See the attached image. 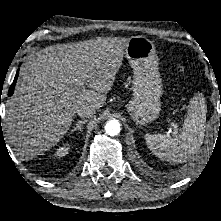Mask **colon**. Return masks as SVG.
<instances>
[{
  "label": "colon",
  "instance_id": "1",
  "mask_svg": "<svg viewBox=\"0 0 221 221\" xmlns=\"http://www.w3.org/2000/svg\"><path fill=\"white\" fill-rule=\"evenodd\" d=\"M177 69L180 73H183L185 71V67L183 65H179Z\"/></svg>",
  "mask_w": 221,
  "mask_h": 221
}]
</instances>
